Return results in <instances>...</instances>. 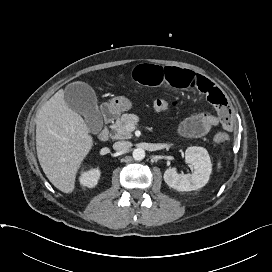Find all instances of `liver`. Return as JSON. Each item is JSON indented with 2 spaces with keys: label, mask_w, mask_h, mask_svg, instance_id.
<instances>
[{
  "label": "liver",
  "mask_w": 272,
  "mask_h": 272,
  "mask_svg": "<svg viewBox=\"0 0 272 272\" xmlns=\"http://www.w3.org/2000/svg\"><path fill=\"white\" fill-rule=\"evenodd\" d=\"M36 148L49 181L63 193H71L80 165L93 146L83 118L68 107L64 91L55 93L39 110Z\"/></svg>",
  "instance_id": "liver-1"
}]
</instances>
